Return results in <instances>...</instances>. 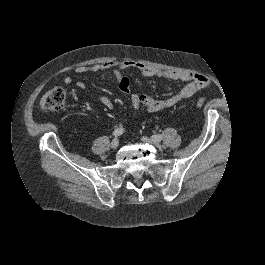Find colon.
<instances>
[{"mask_svg": "<svg viewBox=\"0 0 265 265\" xmlns=\"http://www.w3.org/2000/svg\"><path fill=\"white\" fill-rule=\"evenodd\" d=\"M66 93L65 90L56 87L47 91L40 99L39 105L44 110L59 111L65 107ZM204 105V100L199 99L196 106L201 108Z\"/></svg>", "mask_w": 265, "mask_h": 265, "instance_id": "1", "label": "colon"}]
</instances>
